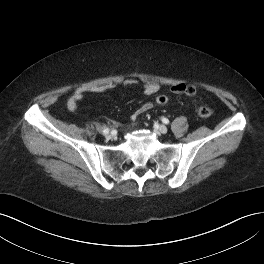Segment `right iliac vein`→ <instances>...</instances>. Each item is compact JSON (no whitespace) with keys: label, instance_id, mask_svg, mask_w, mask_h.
<instances>
[{"label":"right iliac vein","instance_id":"1","mask_svg":"<svg viewBox=\"0 0 264 264\" xmlns=\"http://www.w3.org/2000/svg\"><path fill=\"white\" fill-rule=\"evenodd\" d=\"M105 136H106L107 138H110V137H111V134L107 133Z\"/></svg>","mask_w":264,"mask_h":264}]
</instances>
